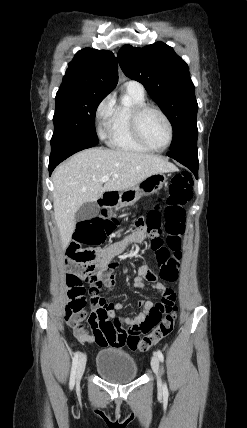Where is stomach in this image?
<instances>
[{
  "mask_svg": "<svg viewBox=\"0 0 247 428\" xmlns=\"http://www.w3.org/2000/svg\"><path fill=\"white\" fill-rule=\"evenodd\" d=\"M167 182V176L164 173H157L143 180L133 188L120 192L121 204L132 205L143 195H152L157 193Z\"/></svg>",
  "mask_w": 247,
  "mask_h": 428,
  "instance_id": "0dacf381",
  "label": "stomach"
}]
</instances>
